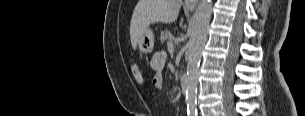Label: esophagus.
<instances>
[{"instance_id":"esophagus-1","label":"esophagus","mask_w":305,"mask_h":116,"mask_svg":"<svg viewBox=\"0 0 305 116\" xmlns=\"http://www.w3.org/2000/svg\"><path fill=\"white\" fill-rule=\"evenodd\" d=\"M198 0H186L184 7L188 10H194L197 6Z\"/></svg>"}]
</instances>
